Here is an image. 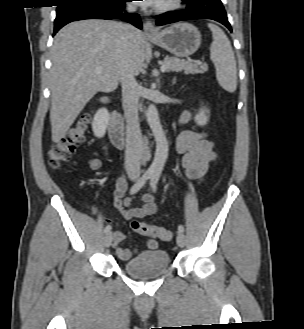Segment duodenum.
Here are the masks:
<instances>
[{
	"label": "duodenum",
	"instance_id": "duodenum-1",
	"mask_svg": "<svg viewBox=\"0 0 304 329\" xmlns=\"http://www.w3.org/2000/svg\"><path fill=\"white\" fill-rule=\"evenodd\" d=\"M103 104L107 105L109 100L106 97L102 98ZM110 121V138L113 144L118 148H124L127 145V138L125 133L124 121L120 113L115 110L109 111Z\"/></svg>",
	"mask_w": 304,
	"mask_h": 329
}]
</instances>
